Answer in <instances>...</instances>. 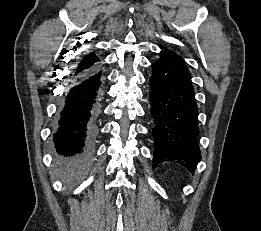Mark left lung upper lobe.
I'll return each instance as SVG.
<instances>
[{"mask_svg": "<svg viewBox=\"0 0 261 231\" xmlns=\"http://www.w3.org/2000/svg\"><path fill=\"white\" fill-rule=\"evenodd\" d=\"M160 54L169 58L177 66L181 67L184 71H186L188 74H190V72H189L185 62L183 61V59L180 56H178L175 52H173L172 50H165V51H162Z\"/></svg>", "mask_w": 261, "mask_h": 231, "instance_id": "1", "label": "left lung upper lobe"}]
</instances>
